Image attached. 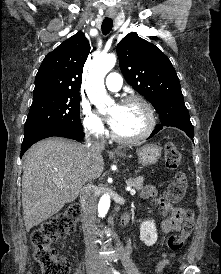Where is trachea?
Returning <instances> with one entry per match:
<instances>
[{"mask_svg":"<svg viewBox=\"0 0 221 274\" xmlns=\"http://www.w3.org/2000/svg\"><path fill=\"white\" fill-rule=\"evenodd\" d=\"M112 27H113V20L111 18L106 17L102 22V26H101L102 33L104 35H107L112 30Z\"/></svg>","mask_w":221,"mask_h":274,"instance_id":"trachea-1","label":"trachea"}]
</instances>
